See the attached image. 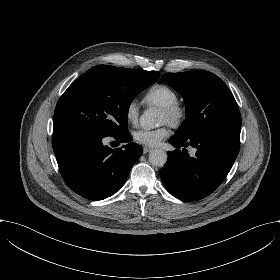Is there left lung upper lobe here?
I'll list each match as a JSON object with an SVG mask.
<instances>
[{"label": "left lung upper lobe", "mask_w": 280, "mask_h": 280, "mask_svg": "<svg viewBox=\"0 0 280 280\" xmlns=\"http://www.w3.org/2000/svg\"><path fill=\"white\" fill-rule=\"evenodd\" d=\"M179 92L186 105V120L174 136L189 138L211 129L241 127L238 105L226 84L208 71L166 73L158 83Z\"/></svg>", "instance_id": "5c2ea615"}]
</instances>
